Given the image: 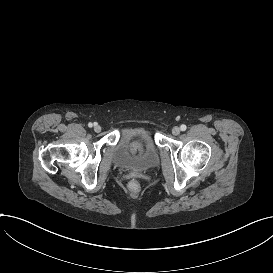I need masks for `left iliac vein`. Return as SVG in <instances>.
Returning <instances> with one entry per match:
<instances>
[{
  "mask_svg": "<svg viewBox=\"0 0 273 273\" xmlns=\"http://www.w3.org/2000/svg\"><path fill=\"white\" fill-rule=\"evenodd\" d=\"M180 132H181V130H180L179 127L176 126V127H173V128H172V134H173V135L177 136V135L180 134Z\"/></svg>",
  "mask_w": 273,
  "mask_h": 273,
  "instance_id": "left-iliac-vein-1",
  "label": "left iliac vein"
}]
</instances>
